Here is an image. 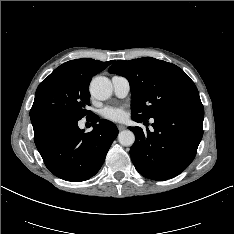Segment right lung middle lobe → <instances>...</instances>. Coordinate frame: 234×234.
Returning <instances> with one entry per match:
<instances>
[{"label":"right lung middle lobe","instance_id":"1","mask_svg":"<svg viewBox=\"0 0 234 234\" xmlns=\"http://www.w3.org/2000/svg\"><path fill=\"white\" fill-rule=\"evenodd\" d=\"M88 85L67 74L49 75L37 88L30 116L57 112L81 119L92 115Z\"/></svg>","mask_w":234,"mask_h":234}]
</instances>
